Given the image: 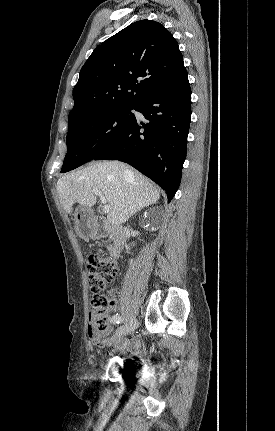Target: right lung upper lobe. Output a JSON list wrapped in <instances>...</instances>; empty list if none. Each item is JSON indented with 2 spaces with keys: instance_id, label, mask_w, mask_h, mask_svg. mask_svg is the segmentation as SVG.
Segmentation results:
<instances>
[{
  "instance_id": "right-lung-upper-lobe-1",
  "label": "right lung upper lobe",
  "mask_w": 275,
  "mask_h": 431,
  "mask_svg": "<svg viewBox=\"0 0 275 431\" xmlns=\"http://www.w3.org/2000/svg\"><path fill=\"white\" fill-rule=\"evenodd\" d=\"M185 69L179 46L158 22H135L104 41L81 68L68 124L113 106H136Z\"/></svg>"
}]
</instances>
